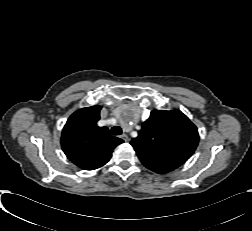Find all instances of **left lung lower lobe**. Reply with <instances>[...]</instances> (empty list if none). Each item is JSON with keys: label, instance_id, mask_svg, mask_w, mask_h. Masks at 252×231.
Returning a JSON list of instances; mask_svg holds the SVG:
<instances>
[{"label": "left lung lower lobe", "instance_id": "obj_1", "mask_svg": "<svg viewBox=\"0 0 252 231\" xmlns=\"http://www.w3.org/2000/svg\"><path fill=\"white\" fill-rule=\"evenodd\" d=\"M146 167L148 169L156 172V173L164 174V173L170 172V171L178 168L179 166H177V165H167V164H158V165H147Z\"/></svg>", "mask_w": 252, "mask_h": 231}]
</instances>
